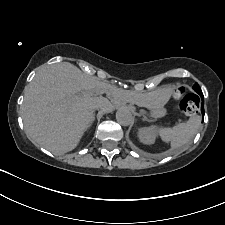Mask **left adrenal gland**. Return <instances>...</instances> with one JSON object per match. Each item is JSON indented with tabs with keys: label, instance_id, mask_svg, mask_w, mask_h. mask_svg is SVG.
I'll use <instances>...</instances> for the list:
<instances>
[{
	"label": "left adrenal gland",
	"instance_id": "left-adrenal-gland-1",
	"mask_svg": "<svg viewBox=\"0 0 225 225\" xmlns=\"http://www.w3.org/2000/svg\"><path fill=\"white\" fill-rule=\"evenodd\" d=\"M143 120L148 121L147 117L143 115Z\"/></svg>",
	"mask_w": 225,
	"mask_h": 225
}]
</instances>
